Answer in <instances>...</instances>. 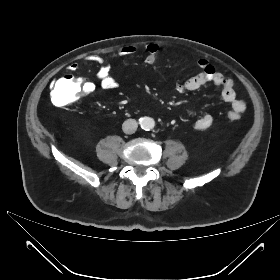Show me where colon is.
I'll list each match as a JSON object with an SVG mask.
<instances>
[{"label":"colon","instance_id":"1","mask_svg":"<svg viewBox=\"0 0 280 280\" xmlns=\"http://www.w3.org/2000/svg\"><path fill=\"white\" fill-rule=\"evenodd\" d=\"M81 93V81L72 75L58 77L52 85L50 99L53 105L63 107L76 102ZM239 115H232L231 119H239Z\"/></svg>","mask_w":280,"mask_h":280}]
</instances>
